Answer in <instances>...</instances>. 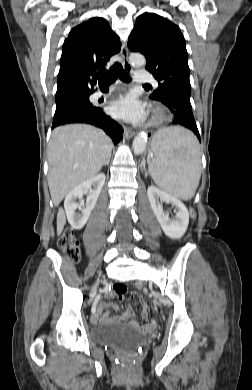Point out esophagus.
<instances>
[{
  "instance_id": "obj_1",
  "label": "esophagus",
  "mask_w": 252,
  "mask_h": 390,
  "mask_svg": "<svg viewBox=\"0 0 252 390\" xmlns=\"http://www.w3.org/2000/svg\"><path fill=\"white\" fill-rule=\"evenodd\" d=\"M120 54H121V57H122V60H123V67L126 71H131L132 70V67L128 61V49L126 47V45H123L122 48H121V51H120ZM124 134H125V137L127 139H130L134 136L135 132L133 130H131L130 128H127L125 127L124 128Z\"/></svg>"
}]
</instances>
